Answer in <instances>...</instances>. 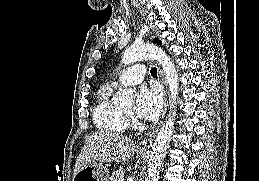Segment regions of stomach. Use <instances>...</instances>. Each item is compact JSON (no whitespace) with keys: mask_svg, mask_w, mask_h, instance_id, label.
<instances>
[{"mask_svg":"<svg viewBox=\"0 0 259 181\" xmlns=\"http://www.w3.org/2000/svg\"><path fill=\"white\" fill-rule=\"evenodd\" d=\"M144 155V153H140ZM109 169L101 163L91 162L77 172L72 181H108Z\"/></svg>","mask_w":259,"mask_h":181,"instance_id":"0dacf381","label":"stomach"}]
</instances>
